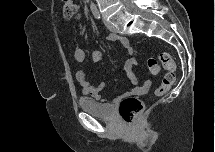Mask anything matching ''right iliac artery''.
<instances>
[{"label":"right iliac artery","mask_w":215,"mask_h":152,"mask_svg":"<svg viewBox=\"0 0 215 152\" xmlns=\"http://www.w3.org/2000/svg\"><path fill=\"white\" fill-rule=\"evenodd\" d=\"M92 13H93V15L95 16L96 19H100V13H99L97 8H93Z\"/></svg>","instance_id":"1"}]
</instances>
